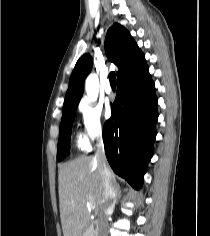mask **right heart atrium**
I'll return each instance as SVG.
<instances>
[{
  "label": "right heart atrium",
  "mask_w": 210,
  "mask_h": 236,
  "mask_svg": "<svg viewBox=\"0 0 210 236\" xmlns=\"http://www.w3.org/2000/svg\"><path fill=\"white\" fill-rule=\"evenodd\" d=\"M83 127V137L88 143L100 139L104 131L101 109L88 101L79 107Z\"/></svg>",
  "instance_id": "d8ad5b80"
}]
</instances>
